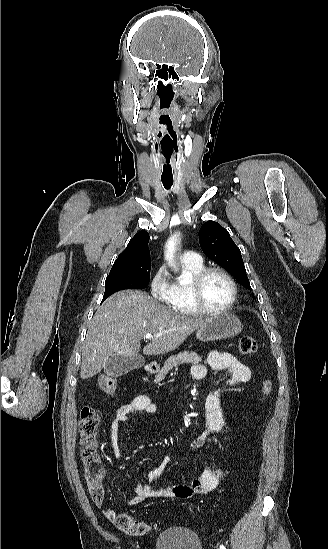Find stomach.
Instances as JSON below:
<instances>
[{
    "instance_id": "obj_1",
    "label": "stomach",
    "mask_w": 328,
    "mask_h": 549,
    "mask_svg": "<svg viewBox=\"0 0 328 549\" xmlns=\"http://www.w3.org/2000/svg\"><path fill=\"white\" fill-rule=\"evenodd\" d=\"M243 329V325L235 315L231 313H218L211 315L206 319L203 327L196 331V337L199 341H217V339H230L239 335ZM157 363H151L150 369H154ZM158 369V365H157Z\"/></svg>"
}]
</instances>
